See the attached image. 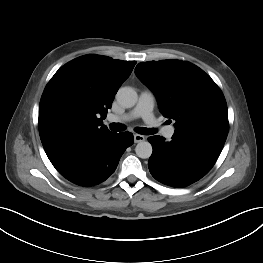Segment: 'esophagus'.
Returning a JSON list of instances; mask_svg holds the SVG:
<instances>
[{"label":"esophagus","mask_w":263,"mask_h":263,"mask_svg":"<svg viewBox=\"0 0 263 263\" xmlns=\"http://www.w3.org/2000/svg\"><path fill=\"white\" fill-rule=\"evenodd\" d=\"M145 140V137L140 134H134V141L135 143H139Z\"/></svg>","instance_id":"1"}]
</instances>
